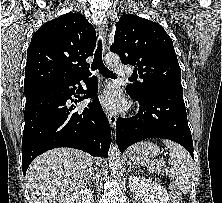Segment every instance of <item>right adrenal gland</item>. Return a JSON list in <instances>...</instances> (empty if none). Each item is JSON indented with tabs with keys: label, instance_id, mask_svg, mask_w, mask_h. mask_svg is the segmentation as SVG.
I'll return each instance as SVG.
<instances>
[{
	"label": "right adrenal gland",
	"instance_id": "right-adrenal-gland-1",
	"mask_svg": "<svg viewBox=\"0 0 222 203\" xmlns=\"http://www.w3.org/2000/svg\"><path fill=\"white\" fill-rule=\"evenodd\" d=\"M94 180H95V178H94L93 174H91L90 180L86 183V185L89 184L90 182L94 181Z\"/></svg>",
	"mask_w": 222,
	"mask_h": 203
}]
</instances>
